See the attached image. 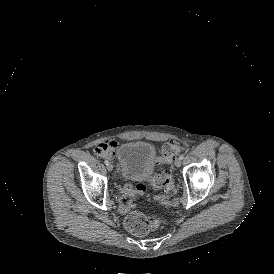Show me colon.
<instances>
[{
	"mask_svg": "<svg viewBox=\"0 0 274 274\" xmlns=\"http://www.w3.org/2000/svg\"><path fill=\"white\" fill-rule=\"evenodd\" d=\"M189 147V140L187 138H180L176 140H169L162 147L155 157V164L161 167H168L171 164V157H175L180 149H187ZM105 152V151H97ZM150 185L159 190L166 192L175 191V183L172 174L167 171H161L155 175L150 181ZM124 193H136L139 196H145L147 193V185L143 182H136L126 184L123 187ZM160 226V221L157 213L154 210H146L144 212H133L124 219V228L130 234L136 237L145 236L148 233L155 231Z\"/></svg>",
	"mask_w": 274,
	"mask_h": 274,
	"instance_id": "1",
	"label": "colon"
}]
</instances>
